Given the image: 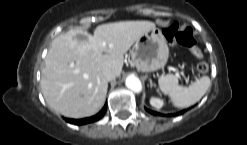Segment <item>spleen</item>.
<instances>
[{
	"mask_svg": "<svg viewBox=\"0 0 247 145\" xmlns=\"http://www.w3.org/2000/svg\"><path fill=\"white\" fill-rule=\"evenodd\" d=\"M159 88L170 97L172 104L178 108H187L198 102L210 86L208 76L196 80L189 87L178 84V78L173 74H167L158 79Z\"/></svg>",
	"mask_w": 247,
	"mask_h": 145,
	"instance_id": "3e777b00",
	"label": "spleen"
}]
</instances>
